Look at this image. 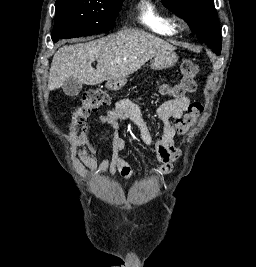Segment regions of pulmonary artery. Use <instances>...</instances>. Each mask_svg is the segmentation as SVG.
Segmentation results:
<instances>
[{
  "mask_svg": "<svg viewBox=\"0 0 256 267\" xmlns=\"http://www.w3.org/2000/svg\"><path fill=\"white\" fill-rule=\"evenodd\" d=\"M144 17H148V16H144ZM148 21H149V17H148Z\"/></svg>",
  "mask_w": 256,
  "mask_h": 267,
  "instance_id": "pulmonary-artery-1",
  "label": "pulmonary artery"
}]
</instances>
